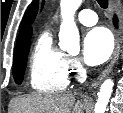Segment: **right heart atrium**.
<instances>
[{
    "instance_id": "obj_1",
    "label": "right heart atrium",
    "mask_w": 123,
    "mask_h": 113,
    "mask_svg": "<svg viewBox=\"0 0 123 113\" xmlns=\"http://www.w3.org/2000/svg\"><path fill=\"white\" fill-rule=\"evenodd\" d=\"M67 68L69 74L73 75L74 77H80L83 74V65L78 58L75 57H67Z\"/></svg>"
}]
</instances>
